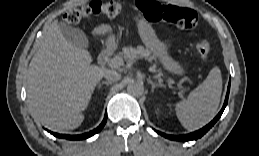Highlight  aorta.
Returning a JSON list of instances; mask_svg holds the SVG:
<instances>
[{
  "label": "aorta",
  "mask_w": 259,
  "mask_h": 156,
  "mask_svg": "<svg viewBox=\"0 0 259 156\" xmlns=\"http://www.w3.org/2000/svg\"><path fill=\"white\" fill-rule=\"evenodd\" d=\"M144 91V87L142 85V83L140 82H136V81H131L128 85H127V92L130 95L133 96H140L143 94Z\"/></svg>",
  "instance_id": "aorta-1"
}]
</instances>
